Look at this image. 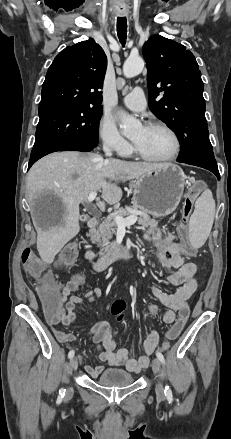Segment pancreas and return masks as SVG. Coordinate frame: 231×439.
<instances>
[{"mask_svg":"<svg viewBox=\"0 0 231 439\" xmlns=\"http://www.w3.org/2000/svg\"><path fill=\"white\" fill-rule=\"evenodd\" d=\"M130 215L138 216V224L143 228L157 227L158 221L150 218L148 213L139 211L136 207L130 206L125 208H118L113 213L105 217L100 226L91 234V241L101 247L99 255L104 256L110 249L116 248L115 242H110L113 234L116 233L117 224L115 222L116 216L126 217Z\"/></svg>","mask_w":231,"mask_h":439,"instance_id":"cf45deb5","label":"pancreas"}]
</instances>
